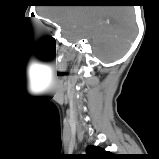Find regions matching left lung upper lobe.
Segmentation results:
<instances>
[{
    "instance_id": "1",
    "label": "left lung upper lobe",
    "mask_w": 159,
    "mask_h": 159,
    "mask_svg": "<svg viewBox=\"0 0 159 159\" xmlns=\"http://www.w3.org/2000/svg\"><path fill=\"white\" fill-rule=\"evenodd\" d=\"M87 154L82 155L81 159H118L116 154L107 152L104 149L97 146H88Z\"/></svg>"
}]
</instances>
